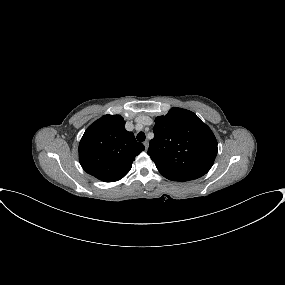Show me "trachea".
Listing matches in <instances>:
<instances>
[{
  "label": "trachea",
  "instance_id": "obj_1",
  "mask_svg": "<svg viewBox=\"0 0 285 285\" xmlns=\"http://www.w3.org/2000/svg\"><path fill=\"white\" fill-rule=\"evenodd\" d=\"M145 138H146V136H145V133H144V132H139V133L137 134V140H138V141L142 142V141L145 140Z\"/></svg>",
  "mask_w": 285,
  "mask_h": 285
}]
</instances>
